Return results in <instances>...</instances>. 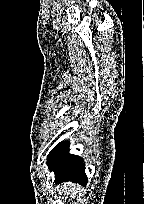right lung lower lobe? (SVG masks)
Returning a JSON list of instances; mask_svg holds the SVG:
<instances>
[{
    "label": "right lung lower lobe",
    "mask_w": 144,
    "mask_h": 204,
    "mask_svg": "<svg viewBox=\"0 0 144 204\" xmlns=\"http://www.w3.org/2000/svg\"><path fill=\"white\" fill-rule=\"evenodd\" d=\"M48 166L55 171V182L73 181L85 185L87 177L83 160L75 155L69 154V144L59 143L48 155Z\"/></svg>",
    "instance_id": "1"
}]
</instances>
